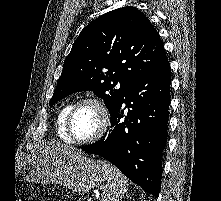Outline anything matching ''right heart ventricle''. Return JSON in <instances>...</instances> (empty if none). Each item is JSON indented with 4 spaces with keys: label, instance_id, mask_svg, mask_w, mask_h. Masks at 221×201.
I'll return each mask as SVG.
<instances>
[{
    "label": "right heart ventricle",
    "instance_id": "right-heart-ventricle-1",
    "mask_svg": "<svg viewBox=\"0 0 221 201\" xmlns=\"http://www.w3.org/2000/svg\"><path fill=\"white\" fill-rule=\"evenodd\" d=\"M72 105L73 104L71 102H68L65 105H63L62 108L59 110L56 119V130L58 137L66 143H70V140L66 133L65 123H66L67 114Z\"/></svg>",
    "mask_w": 221,
    "mask_h": 201
}]
</instances>
